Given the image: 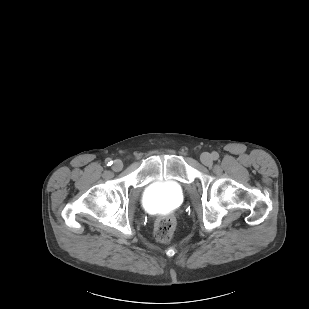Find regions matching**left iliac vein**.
Wrapping results in <instances>:
<instances>
[{"instance_id":"4c4485c4","label":"left iliac vein","mask_w":309,"mask_h":309,"mask_svg":"<svg viewBox=\"0 0 309 309\" xmlns=\"http://www.w3.org/2000/svg\"><path fill=\"white\" fill-rule=\"evenodd\" d=\"M200 160L206 166H210L213 163L212 156L209 153H206V152L201 154Z\"/></svg>"}]
</instances>
